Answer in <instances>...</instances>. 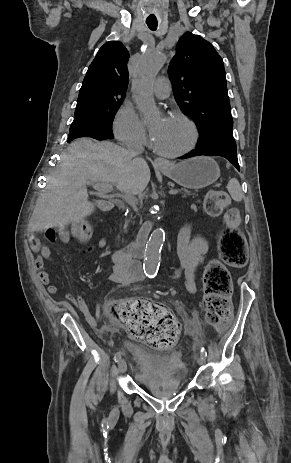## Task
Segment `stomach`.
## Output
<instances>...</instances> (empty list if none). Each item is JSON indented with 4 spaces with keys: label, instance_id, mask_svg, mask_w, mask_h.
I'll return each mask as SVG.
<instances>
[{
    "label": "stomach",
    "instance_id": "1",
    "mask_svg": "<svg viewBox=\"0 0 291 463\" xmlns=\"http://www.w3.org/2000/svg\"><path fill=\"white\" fill-rule=\"evenodd\" d=\"M161 172L179 185L189 189L204 188L213 184L220 177L218 164L208 156H199L178 164H167Z\"/></svg>",
    "mask_w": 291,
    "mask_h": 463
}]
</instances>
